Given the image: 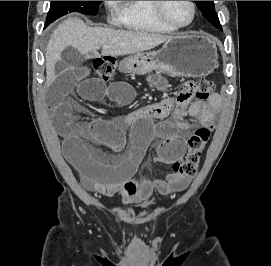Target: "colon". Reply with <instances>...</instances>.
I'll return each mask as SVG.
<instances>
[{"mask_svg": "<svg viewBox=\"0 0 271 266\" xmlns=\"http://www.w3.org/2000/svg\"><path fill=\"white\" fill-rule=\"evenodd\" d=\"M93 69L102 80H108L114 74L115 63L112 58H96L92 63ZM214 93L213 82L206 78L186 81L177 94L178 99L195 98L205 101ZM212 126L196 129L188 139V150L185 157L172 166L173 171L185 179L196 175L201 154L212 134Z\"/></svg>", "mask_w": 271, "mask_h": 266, "instance_id": "colon-1", "label": "colon"}]
</instances>
